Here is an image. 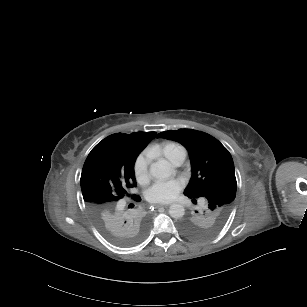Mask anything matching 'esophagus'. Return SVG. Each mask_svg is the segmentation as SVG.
<instances>
[{
  "label": "esophagus",
  "instance_id": "1",
  "mask_svg": "<svg viewBox=\"0 0 307 307\" xmlns=\"http://www.w3.org/2000/svg\"><path fill=\"white\" fill-rule=\"evenodd\" d=\"M152 206H153L154 208H160V207H163V205H162V204H152Z\"/></svg>",
  "mask_w": 307,
  "mask_h": 307
}]
</instances>
